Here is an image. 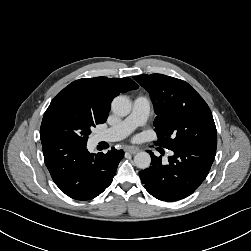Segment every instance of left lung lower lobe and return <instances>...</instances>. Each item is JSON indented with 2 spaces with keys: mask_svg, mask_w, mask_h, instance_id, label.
<instances>
[{
  "mask_svg": "<svg viewBox=\"0 0 251 251\" xmlns=\"http://www.w3.org/2000/svg\"><path fill=\"white\" fill-rule=\"evenodd\" d=\"M168 163L152 152L151 166L139 172L141 182L155 198L171 202L192 194L208 175L216 154V146L188 145L171 149Z\"/></svg>",
  "mask_w": 251,
  "mask_h": 251,
  "instance_id": "0a47b994",
  "label": "left lung lower lobe"
}]
</instances>
